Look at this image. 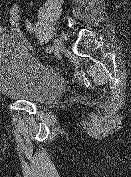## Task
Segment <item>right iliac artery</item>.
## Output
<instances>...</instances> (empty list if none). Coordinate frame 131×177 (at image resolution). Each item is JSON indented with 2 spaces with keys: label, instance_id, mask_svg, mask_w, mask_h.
Returning a JSON list of instances; mask_svg holds the SVG:
<instances>
[{
  "label": "right iliac artery",
  "instance_id": "1",
  "mask_svg": "<svg viewBox=\"0 0 131 177\" xmlns=\"http://www.w3.org/2000/svg\"><path fill=\"white\" fill-rule=\"evenodd\" d=\"M26 28L31 32L32 30H33V28H32V24L28 21V20H26ZM53 47L52 46H48L47 48H46V52L47 53H51L52 51H53Z\"/></svg>",
  "mask_w": 131,
  "mask_h": 177
}]
</instances>
